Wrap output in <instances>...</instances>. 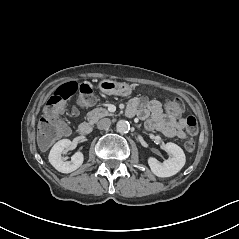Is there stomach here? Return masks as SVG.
Listing matches in <instances>:
<instances>
[{"label":"stomach","mask_w":239,"mask_h":239,"mask_svg":"<svg viewBox=\"0 0 239 239\" xmlns=\"http://www.w3.org/2000/svg\"><path fill=\"white\" fill-rule=\"evenodd\" d=\"M98 88L101 92L107 95H117V96H129L132 93V86L123 82L119 83L112 80H102L100 81Z\"/></svg>","instance_id":"0dacf381"}]
</instances>
